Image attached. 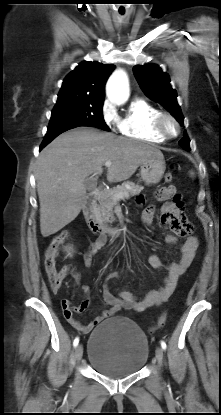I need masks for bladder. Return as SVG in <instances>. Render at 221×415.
Here are the masks:
<instances>
[{"mask_svg": "<svg viewBox=\"0 0 221 415\" xmlns=\"http://www.w3.org/2000/svg\"><path fill=\"white\" fill-rule=\"evenodd\" d=\"M87 356L98 373L123 378L137 373L146 364L149 343L135 322L125 317H113L93 329Z\"/></svg>", "mask_w": 221, "mask_h": 415, "instance_id": "31cf9c89", "label": "bladder"}]
</instances>
